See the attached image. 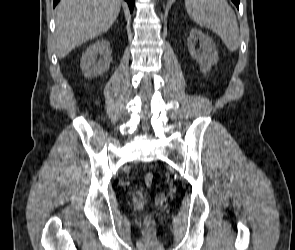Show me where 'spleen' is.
<instances>
[{
	"mask_svg": "<svg viewBox=\"0 0 295 250\" xmlns=\"http://www.w3.org/2000/svg\"><path fill=\"white\" fill-rule=\"evenodd\" d=\"M185 6L191 19L217 33L230 51L239 48L237 18L226 0H185Z\"/></svg>",
	"mask_w": 295,
	"mask_h": 250,
	"instance_id": "spleen-1",
	"label": "spleen"
}]
</instances>
